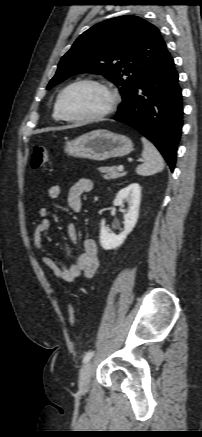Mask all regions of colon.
Masks as SVG:
<instances>
[{
  "instance_id": "colon-1",
  "label": "colon",
  "mask_w": 202,
  "mask_h": 437,
  "mask_svg": "<svg viewBox=\"0 0 202 437\" xmlns=\"http://www.w3.org/2000/svg\"><path fill=\"white\" fill-rule=\"evenodd\" d=\"M49 159V151L44 146L36 145L33 148L32 157H31V166L32 168H41L43 165L47 163ZM68 321L71 325L76 322V309L74 305L70 304L68 306Z\"/></svg>"
}]
</instances>
